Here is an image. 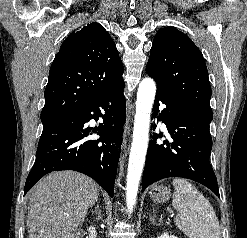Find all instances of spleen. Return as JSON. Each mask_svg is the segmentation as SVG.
Masks as SVG:
<instances>
[{"instance_id":"1","label":"spleen","mask_w":247,"mask_h":238,"mask_svg":"<svg viewBox=\"0 0 247 238\" xmlns=\"http://www.w3.org/2000/svg\"><path fill=\"white\" fill-rule=\"evenodd\" d=\"M173 207L177 227L189 238H220V226L210 202L191 183L175 178Z\"/></svg>"}]
</instances>
